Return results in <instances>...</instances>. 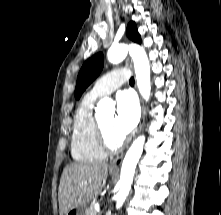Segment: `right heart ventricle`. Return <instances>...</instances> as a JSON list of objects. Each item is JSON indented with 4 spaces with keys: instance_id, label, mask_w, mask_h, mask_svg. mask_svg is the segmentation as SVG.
Here are the masks:
<instances>
[{
    "instance_id": "e07e8e85",
    "label": "right heart ventricle",
    "mask_w": 221,
    "mask_h": 215,
    "mask_svg": "<svg viewBox=\"0 0 221 215\" xmlns=\"http://www.w3.org/2000/svg\"><path fill=\"white\" fill-rule=\"evenodd\" d=\"M96 99L88 93L75 112L71 137V155L78 162H97L106 156L96 137V118L93 112Z\"/></svg>"
}]
</instances>
